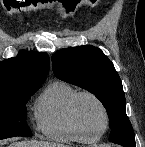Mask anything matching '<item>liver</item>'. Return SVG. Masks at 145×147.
<instances>
[{
  "label": "liver",
  "instance_id": "1",
  "mask_svg": "<svg viewBox=\"0 0 145 147\" xmlns=\"http://www.w3.org/2000/svg\"><path fill=\"white\" fill-rule=\"evenodd\" d=\"M9 147H66L62 144L44 142V141H21L13 142Z\"/></svg>",
  "mask_w": 145,
  "mask_h": 147
}]
</instances>
